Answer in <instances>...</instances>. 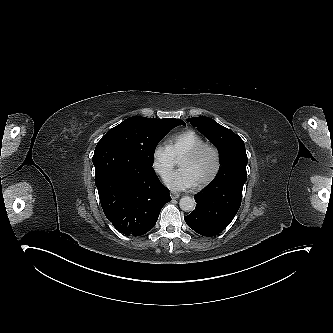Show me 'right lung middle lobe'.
<instances>
[{"mask_svg":"<svg viewBox=\"0 0 333 333\" xmlns=\"http://www.w3.org/2000/svg\"><path fill=\"white\" fill-rule=\"evenodd\" d=\"M186 125L174 118L134 116L110 129L102 139H114L128 148L146 167L152 168L155 147L176 126Z\"/></svg>","mask_w":333,"mask_h":333,"instance_id":"obj_1","label":"right lung middle lobe"}]
</instances>
